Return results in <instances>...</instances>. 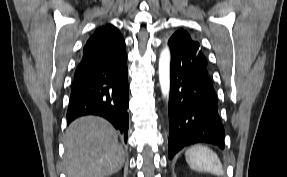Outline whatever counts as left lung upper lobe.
<instances>
[{"instance_id": "5c2ea615", "label": "left lung upper lobe", "mask_w": 287, "mask_h": 177, "mask_svg": "<svg viewBox=\"0 0 287 177\" xmlns=\"http://www.w3.org/2000/svg\"><path fill=\"white\" fill-rule=\"evenodd\" d=\"M170 40L174 42L176 49L186 60L192 61L207 69V60L199 43L193 40L186 31H177L172 35Z\"/></svg>"}]
</instances>
